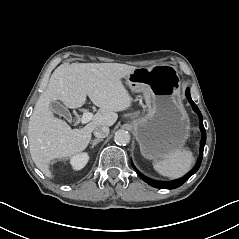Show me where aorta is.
<instances>
[{"mask_svg": "<svg viewBox=\"0 0 239 239\" xmlns=\"http://www.w3.org/2000/svg\"><path fill=\"white\" fill-rule=\"evenodd\" d=\"M114 140L119 145H126L130 142V134L128 131L120 129L115 133Z\"/></svg>", "mask_w": 239, "mask_h": 239, "instance_id": "obj_1", "label": "aorta"}]
</instances>
